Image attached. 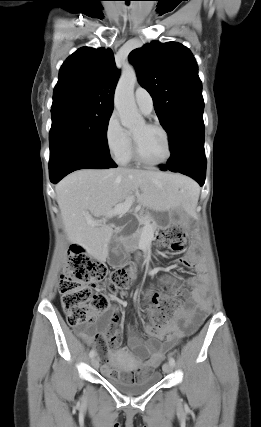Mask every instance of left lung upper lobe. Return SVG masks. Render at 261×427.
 <instances>
[{
  "mask_svg": "<svg viewBox=\"0 0 261 427\" xmlns=\"http://www.w3.org/2000/svg\"><path fill=\"white\" fill-rule=\"evenodd\" d=\"M130 59L169 137L182 123L203 119L202 83L197 62L187 47L177 42H152L133 50Z\"/></svg>",
  "mask_w": 261,
  "mask_h": 427,
  "instance_id": "5c2ea615",
  "label": "left lung upper lobe"
}]
</instances>
